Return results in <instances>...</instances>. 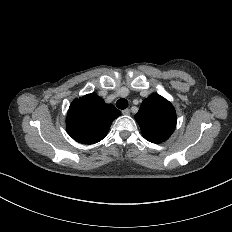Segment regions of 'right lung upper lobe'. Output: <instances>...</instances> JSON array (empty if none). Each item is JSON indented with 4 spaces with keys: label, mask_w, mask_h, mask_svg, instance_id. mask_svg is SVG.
Instances as JSON below:
<instances>
[{
    "label": "right lung upper lobe",
    "mask_w": 232,
    "mask_h": 232,
    "mask_svg": "<svg viewBox=\"0 0 232 232\" xmlns=\"http://www.w3.org/2000/svg\"><path fill=\"white\" fill-rule=\"evenodd\" d=\"M121 115L112 104H106L95 93L75 99L67 114L69 135L82 144H94L108 133L111 123Z\"/></svg>",
    "instance_id": "1"
}]
</instances>
